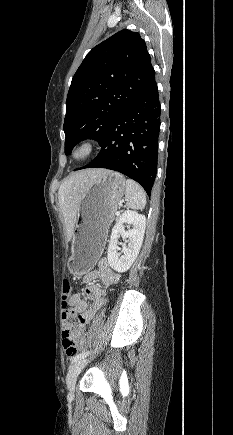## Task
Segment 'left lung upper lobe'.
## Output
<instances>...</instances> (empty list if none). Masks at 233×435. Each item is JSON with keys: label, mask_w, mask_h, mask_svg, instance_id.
Returning <instances> with one entry per match:
<instances>
[{"label": "left lung upper lobe", "mask_w": 233, "mask_h": 435, "mask_svg": "<svg viewBox=\"0 0 233 435\" xmlns=\"http://www.w3.org/2000/svg\"><path fill=\"white\" fill-rule=\"evenodd\" d=\"M139 33L121 30L94 47L72 78L64 120L65 153L86 138L99 143L154 76Z\"/></svg>", "instance_id": "obj_1"}]
</instances>
